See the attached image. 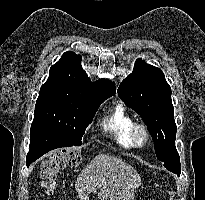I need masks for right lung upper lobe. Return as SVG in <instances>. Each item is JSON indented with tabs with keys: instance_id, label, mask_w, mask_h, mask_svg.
I'll return each mask as SVG.
<instances>
[{
	"instance_id": "cb5924a9",
	"label": "right lung upper lobe",
	"mask_w": 205,
	"mask_h": 200,
	"mask_svg": "<svg viewBox=\"0 0 205 200\" xmlns=\"http://www.w3.org/2000/svg\"><path fill=\"white\" fill-rule=\"evenodd\" d=\"M46 83L65 84L99 100L107 99L115 93L114 84L107 79L92 83L82 69L81 57L72 51L64 53L61 59L51 66Z\"/></svg>"
}]
</instances>
